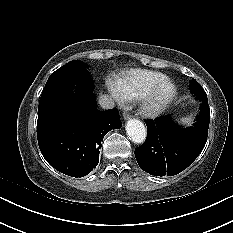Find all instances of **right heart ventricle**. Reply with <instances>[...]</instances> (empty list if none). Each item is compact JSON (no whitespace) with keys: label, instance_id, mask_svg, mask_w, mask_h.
Wrapping results in <instances>:
<instances>
[{"label":"right heart ventricle","instance_id":"e07e8e85","mask_svg":"<svg viewBox=\"0 0 233 233\" xmlns=\"http://www.w3.org/2000/svg\"><path fill=\"white\" fill-rule=\"evenodd\" d=\"M165 78L166 76L159 72L132 70L115 81L114 89L122 99H140Z\"/></svg>","mask_w":233,"mask_h":233}]
</instances>
